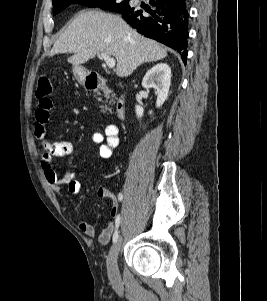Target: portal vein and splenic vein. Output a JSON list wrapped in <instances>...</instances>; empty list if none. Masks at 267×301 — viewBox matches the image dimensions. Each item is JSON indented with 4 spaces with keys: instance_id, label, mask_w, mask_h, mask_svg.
<instances>
[{
    "instance_id": "portal-vein-and-splenic-vein-1",
    "label": "portal vein and splenic vein",
    "mask_w": 267,
    "mask_h": 301,
    "mask_svg": "<svg viewBox=\"0 0 267 301\" xmlns=\"http://www.w3.org/2000/svg\"><path fill=\"white\" fill-rule=\"evenodd\" d=\"M101 56V58L105 61L106 65L108 66V68H114L115 67V59L109 55H107L106 53H100L99 54Z\"/></svg>"
}]
</instances>
